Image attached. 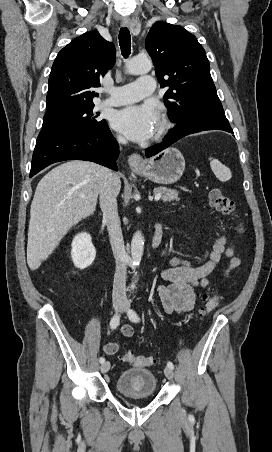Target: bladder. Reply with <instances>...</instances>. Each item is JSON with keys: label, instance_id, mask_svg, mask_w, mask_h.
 Masks as SVG:
<instances>
[{"label": "bladder", "instance_id": "1", "mask_svg": "<svg viewBox=\"0 0 272 452\" xmlns=\"http://www.w3.org/2000/svg\"><path fill=\"white\" fill-rule=\"evenodd\" d=\"M116 389L128 396H154L157 391V379L147 368H133L123 371L116 379Z\"/></svg>", "mask_w": 272, "mask_h": 452}]
</instances>
